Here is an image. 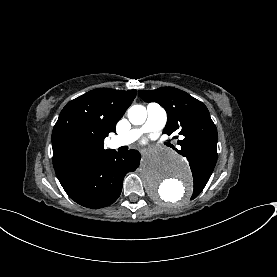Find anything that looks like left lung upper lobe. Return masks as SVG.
I'll return each instance as SVG.
<instances>
[{"mask_svg": "<svg viewBox=\"0 0 277 277\" xmlns=\"http://www.w3.org/2000/svg\"><path fill=\"white\" fill-rule=\"evenodd\" d=\"M146 102H157L165 108L168 116L165 134L178 131L184 139L179 140L181 150L205 144L217 145L218 135L207 107L188 93L173 87L138 91ZM180 152V151H179ZM212 169L203 167L192 171L194 191L191 199L197 197L208 182Z\"/></svg>", "mask_w": 277, "mask_h": 277, "instance_id": "1", "label": "left lung upper lobe"}]
</instances>
